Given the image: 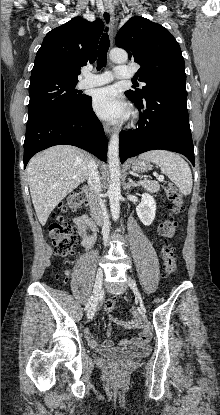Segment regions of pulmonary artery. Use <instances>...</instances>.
Listing matches in <instances>:
<instances>
[{
  "mask_svg": "<svg viewBox=\"0 0 220 415\" xmlns=\"http://www.w3.org/2000/svg\"><path fill=\"white\" fill-rule=\"evenodd\" d=\"M133 72L125 65L115 67L113 72L106 71L103 73L92 74L88 71L84 73V79L79 82L80 88H91L101 86L111 82L113 79H124L132 77Z\"/></svg>",
  "mask_w": 220,
  "mask_h": 415,
  "instance_id": "obj_1",
  "label": "pulmonary artery"
}]
</instances>
